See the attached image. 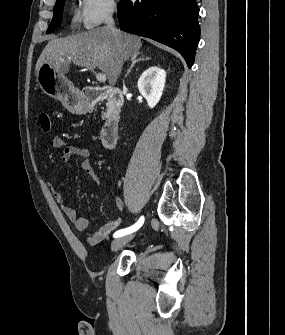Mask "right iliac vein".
Instances as JSON below:
<instances>
[{"instance_id": "63e3f726", "label": "right iliac vein", "mask_w": 285, "mask_h": 335, "mask_svg": "<svg viewBox=\"0 0 285 335\" xmlns=\"http://www.w3.org/2000/svg\"><path fill=\"white\" fill-rule=\"evenodd\" d=\"M133 235L122 236L112 242V251L120 250L124 245L131 241Z\"/></svg>"}]
</instances>
